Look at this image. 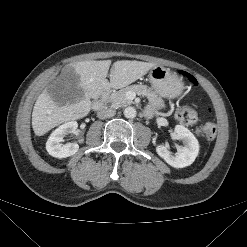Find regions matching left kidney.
Returning <instances> with one entry per match:
<instances>
[{"instance_id": "5707ae66", "label": "left kidney", "mask_w": 247, "mask_h": 247, "mask_svg": "<svg viewBox=\"0 0 247 247\" xmlns=\"http://www.w3.org/2000/svg\"><path fill=\"white\" fill-rule=\"evenodd\" d=\"M176 139L182 140L184 146L178 149L175 155L168 150L165 145L156 147L157 154L163 158L166 163L174 168H184L191 165L199 152V143L195 136L184 126H175Z\"/></svg>"}]
</instances>
